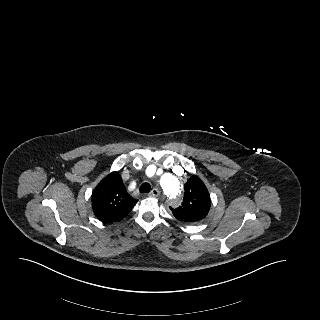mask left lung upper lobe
I'll use <instances>...</instances> for the list:
<instances>
[{"label":"left lung upper lobe","mask_w":320,"mask_h":320,"mask_svg":"<svg viewBox=\"0 0 320 320\" xmlns=\"http://www.w3.org/2000/svg\"><path fill=\"white\" fill-rule=\"evenodd\" d=\"M210 195L204 183L197 176H192L185 184L184 198L181 206L171 208L176 219L184 223L202 220L210 209Z\"/></svg>","instance_id":"1"}]
</instances>
